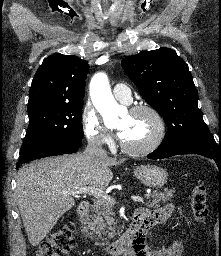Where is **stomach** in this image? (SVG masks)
I'll return each instance as SVG.
<instances>
[{
  "label": "stomach",
  "instance_id": "0dacf381",
  "mask_svg": "<svg viewBox=\"0 0 221 256\" xmlns=\"http://www.w3.org/2000/svg\"><path fill=\"white\" fill-rule=\"evenodd\" d=\"M135 176L147 187L160 188L167 183V172L157 166H141L134 170Z\"/></svg>",
  "mask_w": 221,
  "mask_h": 256
}]
</instances>
